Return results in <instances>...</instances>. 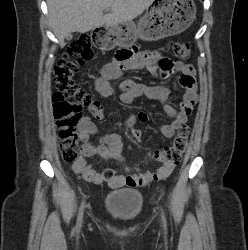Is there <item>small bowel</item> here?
<instances>
[{"label": "small bowel", "mask_w": 248, "mask_h": 250, "mask_svg": "<svg viewBox=\"0 0 248 250\" xmlns=\"http://www.w3.org/2000/svg\"><path fill=\"white\" fill-rule=\"evenodd\" d=\"M146 69L150 73L167 79L172 71L180 72L179 84L184 90L183 98L179 109L167 103L170 91L165 86H151L142 83H136L130 79L120 80L121 73L125 70ZM194 67L191 64L183 62H173L165 58L157 50H138L130 49V56L120 62L106 64L95 81L97 92L104 98L114 95L116 89L120 94L123 103H131L136 98H146L157 100L163 104V109L168 117L172 120L160 127V132L165 138H172L176 130L186 120L187 110L197 101V90L194 79ZM118 81L117 85L113 82ZM93 117L96 120H104L105 113L103 108L98 104L91 108ZM145 122L147 115L140 113L137 116L131 115L125 122L127 128H132L136 121ZM98 133L97 126L88 117H83L78 126L79 139L82 142L81 156L73 164V170L86 181L94 184L107 182L112 188L144 186L151 181H159L167 178L172 170L173 164L169 163L163 156L161 150H156L149 157L158 161L160 167L152 172H131V168L124 164L121 155L122 141L118 133H109L99 139L98 144L91 141V137ZM99 155L106 159H112L122 164L127 172L125 175H117L113 169L97 171L93 166L86 163L85 158Z\"/></svg>", "instance_id": "c3829d8e"}]
</instances>
